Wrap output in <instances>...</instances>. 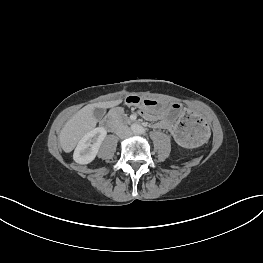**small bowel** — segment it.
I'll return each mask as SVG.
<instances>
[{
    "label": "small bowel",
    "instance_id": "c3829d8e",
    "mask_svg": "<svg viewBox=\"0 0 263 263\" xmlns=\"http://www.w3.org/2000/svg\"><path fill=\"white\" fill-rule=\"evenodd\" d=\"M141 115H142V117H143L144 119L153 122L155 128L169 131L170 134L172 135V137L174 138V140H175L178 144H180V142H178V140H177V138H176V133L173 132L171 129L165 127V125L161 124V122H160V120H159L160 115H156V114H154L153 112L148 111V110L141 111ZM180 145H181V144H180Z\"/></svg>",
    "mask_w": 263,
    "mask_h": 263
}]
</instances>
